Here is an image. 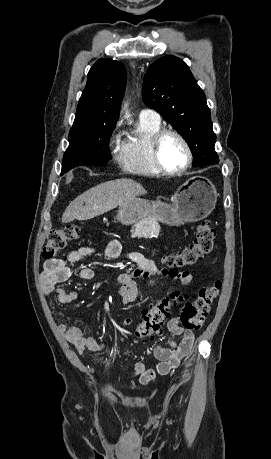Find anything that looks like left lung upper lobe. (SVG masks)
Here are the masks:
<instances>
[{"mask_svg":"<svg viewBox=\"0 0 271 459\" xmlns=\"http://www.w3.org/2000/svg\"><path fill=\"white\" fill-rule=\"evenodd\" d=\"M142 96L188 142L194 167L219 161L205 94L181 59L165 56L155 61L146 72Z\"/></svg>","mask_w":271,"mask_h":459,"instance_id":"5c2ea615","label":"left lung upper lobe"}]
</instances>
